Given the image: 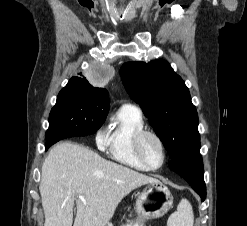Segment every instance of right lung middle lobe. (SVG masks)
<instances>
[{
	"label": "right lung middle lobe",
	"instance_id": "1",
	"mask_svg": "<svg viewBox=\"0 0 247 226\" xmlns=\"http://www.w3.org/2000/svg\"><path fill=\"white\" fill-rule=\"evenodd\" d=\"M104 103L84 92L64 87L49 115L46 140L93 134L106 119Z\"/></svg>",
	"mask_w": 247,
	"mask_h": 226
}]
</instances>
